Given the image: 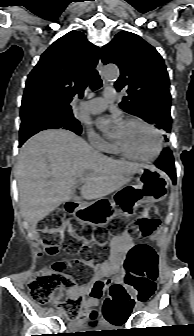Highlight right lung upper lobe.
Segmentation results:
<instances>
[{"label": "right lung upper lobe", "instance_id": "right-lung-upper-lobe-1", "mask_svg": "<svg viewBox=\"0 0 194 336\" xmlns=\"http://www.w3.org/2000/svg\"><path fill=\"white\" fill-rule=\"evenodd\" d=\"M100 48L80 31L55 41L28 75L21 105V121L42 113H70L75 94L83 96L88 73L95 68Z\"/></svg>", "mask_w": 194, "mask_h": 336}]
</instances>
